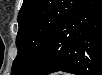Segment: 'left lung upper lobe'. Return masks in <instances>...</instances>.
Segmentation results:
<instances>
[{
	"mask_svg": "<svg viewBox=\"0 0 102 75\" xmlns=\"http://www.w3.org/2000/svg\"><path fill=\"white\" fill-rule=\"evenodd\" d=\"M83 0H24L18 15V54L12 74H28L50 35Z\"/></svg>",
	"mask_w": 102,
	"mask_h": 75,
	"instance_id": "1",
	"label": "left lung upper lobe"
}]
</instances>
